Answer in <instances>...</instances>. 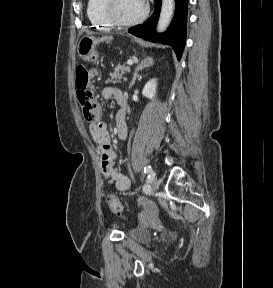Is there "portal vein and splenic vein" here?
Here are the masks:
<instances>
[{"label":"portal vein and splenic vein","instance_id":"18ae733b","mask_svg":"<svg viewBox=\"0 0 273 288\" xmlns=\"http://www.w3.org/2000/svg\"><path fill=\"white\" fill-rule=\"evenodd\" d=\"M133 63H134V61L131 60V59L127 61V64H128V65H133Z\"/></svg>","mask_w":273,"mask_h":288}]
</instances>
